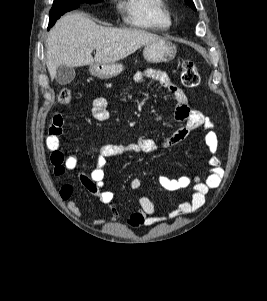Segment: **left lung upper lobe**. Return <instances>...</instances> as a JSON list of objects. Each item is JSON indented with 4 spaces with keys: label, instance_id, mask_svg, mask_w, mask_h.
Masks as SVG:
<instances>
[{
    "label": "left lung upper lobe",
    "instance_id": "1",
    "mask_svg": "<svg viewBox=\"0 0 267 301\" xmlns=\"http://www.w3.org/2000/svg\"><path fill=\"white\" fill-rule=\"evenodd\" d=\"M185 1H186V3H187L189 6L192 7V9L196 10V8H195L194 3H193L192 0H185Z\"/></svg>",
    "mask_w": 267,
    "mask_h": 301
}]
</instances>
